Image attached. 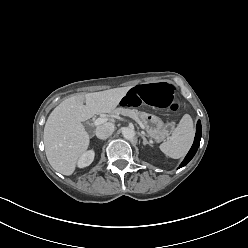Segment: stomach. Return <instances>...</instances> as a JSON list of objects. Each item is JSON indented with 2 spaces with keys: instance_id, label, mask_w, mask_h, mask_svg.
<instances>
[{
  "instance_id": "stomach-1",
  "label": "stomach",
  "mask_w": 248,
  "mask_h": 248,
  "mask_svg": "<svg viewBox=\"0 0 248 248\" xmlns=\"http://www.w3.org/2000/svg\"><path fill=\"white\" fill-rule=\"evenodd\" d=\"M134 118L136 122H143L148 136L154 142L166 140L174 129L172 122L165 123L161 118L153 114L139 112L135 114Z\"/></svg>"
}]
</instances>
